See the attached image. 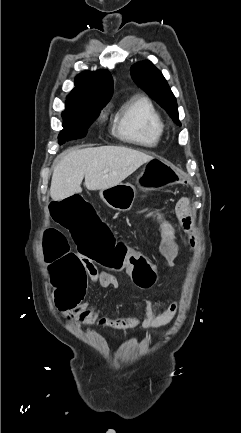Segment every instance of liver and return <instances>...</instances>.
<instances>
[{"instance_id":"obj_1","label":"liver","mask_w":241,"mask_h":433,"mask_svg":"<svg viewBox=\"0 0 241 433\" xmlns=\"http://www.w3.org/2000/svg\"><path fill=\"white\" fill-rule=\"evenodd\" d=\"M152 156L126 147L104 146L66 151L54 167L50 195L54 201L88 190H104L120 184Z\"/></svg>"}]
</instances>
